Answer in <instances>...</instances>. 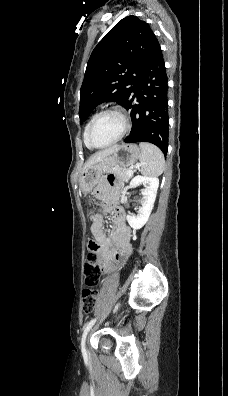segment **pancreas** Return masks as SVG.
Returning <instances> with one entry per match:
<instances>
[{"mask_svg": "<svg viewBox=\"0 0 228 396\" xmlns=\"http://www.w3.org/2000/svg\"><path fill=\"white\" fill-rule=\"evenodd\" d=\"M129 170L130 169L125 168V167L113 166L112 168L109 169L108 172H111V173H114V174L120 176L122 178V180L127 183L133 175V173L128 174Z\"/></svg>", "mask_w": 228, "mask_h": 396, "instance_id": "cf45deb5", "label": "pancreas"}]
</instances>
